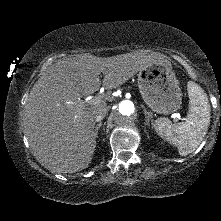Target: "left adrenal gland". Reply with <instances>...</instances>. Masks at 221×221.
<instances>
[{"instance_id": "left-adrenal-gland-1", "label": "left adrenal gland", "mask_w": 221, "mask_h": 221, "mask_svg": "<svg viewBox=\"0 0 221 221\" xmlns=\"http://www.w3.org/2000/svg\"><path fill=\"white\" fill-rule=\"evenodd\" d=\"M143 112L145 115V124L149 125L150 121L153 124V114L149 112L147 109H144Z\"/></svg>"}]
</instances>
